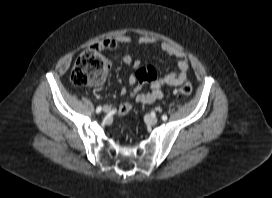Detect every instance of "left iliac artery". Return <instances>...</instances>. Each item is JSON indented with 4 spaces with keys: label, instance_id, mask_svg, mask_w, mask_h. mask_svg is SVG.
I'll use <instances>...</instances> for the list:
<instances>
[{
    "label": "left iliac artery",
    "instance_id": "1",
    "mask_svg": "<svg viewBox=\"0 0 272 198\" xmlns=\"http://www.w3.org/2000/svg\"><path fill=\"white\" fill-rule=\"evenodd\" d=\"M162 120L166 121L167 120V115H163Z\"/></svg>",
    "mask_w": 272,
    "mask_h": 198
}]
</instances>
